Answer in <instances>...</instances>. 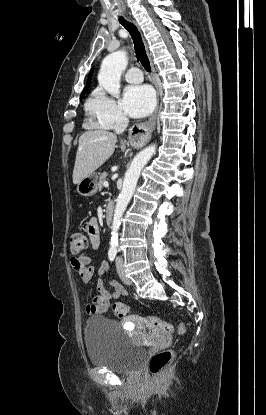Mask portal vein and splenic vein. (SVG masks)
<instances>
[{
  "label": "portal vein and splenic vein",
  "instance_id": "18ae733b",
  "mask_svg": "<svg viewBox=\"0 0 266 415\" xmlns=\"http://www.w3.org/2000/svg\"><path fill=\"white\" fill-rule=\"evenodd\" d=\"M103 186L104 187H108L109 186V183L107 181H104Z\"/></svg>",
  "mask_w": 266,
  "mask_h": 415
}]
</instances>
